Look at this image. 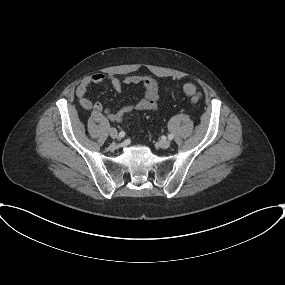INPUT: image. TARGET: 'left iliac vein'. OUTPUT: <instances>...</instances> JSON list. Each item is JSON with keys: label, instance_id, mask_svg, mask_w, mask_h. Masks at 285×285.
<instances>
[{"label": "left iliac vein", "instance_id": "4c4485c4", "mask_svg": "<svg viewBox=\"0 0 285 285\" xmlns=\"http://www.w3.org/2000/svg\"><path fill=\"white\" fill-rule=\"evenodd\" d=\"M170 144L171 143H170L169 140H161L159 142V147L162 148V149H167V148H169Z\"/></svg>", "mask_w": 285, "mask_h": 285}]
</instances>
